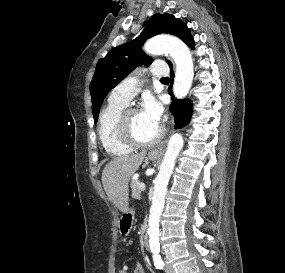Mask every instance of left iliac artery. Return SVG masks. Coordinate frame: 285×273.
Returning <instances> with one entry per match:
<instances>
[{"mask_svg":"<svg viewBox=\"0 0 285 273\" xmlns=\"http://www.w3.org/2000/svg\"><path fill=\"white\" fill-rule=\"evenodd\" d=\"M154 265L157 269H163L164 262L160 255H153Z\"/></svg>","mask_w":285,"mask_h":273,"instance_id":"left-iliac-artery-1","label":"left iliac artery"}]
</instances>
